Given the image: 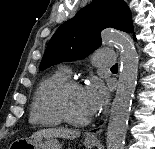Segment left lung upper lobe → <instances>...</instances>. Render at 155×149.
<instances>
[{"label":"left lung upper lobe","instance_id":"1","mask_svg":"<svg viewBox=\"0 0 155 149\" xmlns=\"http://www.w3.org/2000/svg\"><path fill=\"white\" fill-rule=\"evenodd\" d=\"M107 27L133 32L131 13L123 0H93L64 22L50 39L39 69L85 58L102 44L100 32Z\"/></svg>","mask_w":155,"mask_h":149}]
</instances>
